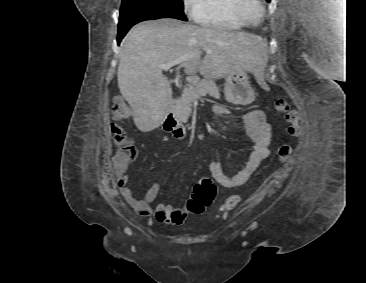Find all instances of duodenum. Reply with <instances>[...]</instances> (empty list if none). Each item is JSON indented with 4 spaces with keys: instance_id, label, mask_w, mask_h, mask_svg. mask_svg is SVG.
<instances>
[{
    "instance_id": "1",
    "label": "duodenum",
    "mask_w": 366,
    "mask_h": 283,
    "mask_svg": "<svg viewBox=\"0 0 366 283\" xmlns=\"http://www.w3.org/2000/svg\"><path fill=\"white\" fill-rule=\"evenodd\" d=\"M163 127L167 132L172 133L177 138L184 136V128L181 121L177 118L173 106H170L165 114Z\"/></svg>"
}]
</instances>
